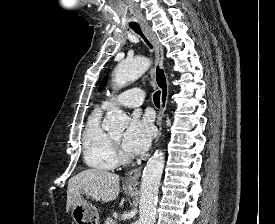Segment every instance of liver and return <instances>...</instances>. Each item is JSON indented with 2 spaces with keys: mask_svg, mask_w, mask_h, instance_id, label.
I'll return each mask as SVG.
<instances>
[{
  "mask_svg": "<svg viewBox=\"0 0 275 224\" xmlns=\"http://www.w3.org/2000/svg\"><path fill=\"white\" fill-rule=\"evenodd\" d=\"M120 178L115 173L103 169H86L68 181L67 212L81 199V195L95 201L110 202L119 195Z\"/></svg>",
  "mask_w": 275,
  "mask_h": 224,
  "instance_id": "6515ba94",
  "label": "liver"
}]
</instances>
